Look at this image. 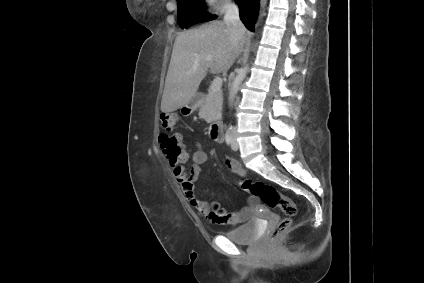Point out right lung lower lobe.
<instances>
[{
    "instance_id": "obj_1",
    "label": "right lung lower lobe",
    "mask_w": 424,
    "mask_h": 283,
    "mask_svg": "<svg viewBox=\"0 0 424 283\" xmlns=\"http://www.w3.org/2000/svg\"><path fill=\"white\" fill-rule=\"evenodd\" d=\"M240 9V19L247 29L254 31L257 19L259 0H237Z\"/></svg>"
}]
</instances>
